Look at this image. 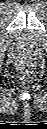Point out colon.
Wrapping results in <instances>:
<instances>
[{"mask_svg":"<svg viewBox=\"0 0 47 129\" xmlns=\"http://www.w3.org/2000/svg\"><path fill=\"white\" fill-rule=\"evenodd\" d=\"M19 72L24 80H29L34 75V65L29 61L19 63Z\"/></svg>","mask_w":47,"mask_h":129,"instance_id":"5ec220e1","label":"colon"}]
</instances>
